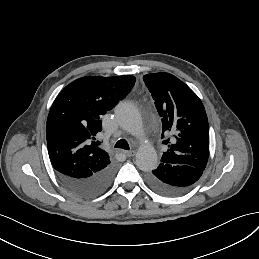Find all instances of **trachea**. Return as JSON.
<instances>
[{
	"instance_id": "obj_1",
	"label": "trachea",
	"mask_w": 259,
	"mask_h": 259,
	"mask_svg": "<svg viewBox=\"0 0 259 259\" xmlns=\"http://www.w3.org/2000/svg\"><path fill=\"white\" fill-rule=\"evenodd\" d=\"M115 148H122L124 150H129V144L125 139H120L119 141H117V143L115 144Z\"/></svg>"
}]
</instances>
